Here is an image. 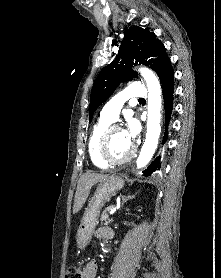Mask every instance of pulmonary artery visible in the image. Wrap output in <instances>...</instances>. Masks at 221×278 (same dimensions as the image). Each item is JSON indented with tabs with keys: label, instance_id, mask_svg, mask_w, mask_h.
Returning <instances> with one entry per match:
<instances>
[{
	"label": "pulmonary artery",
	"instance_id": "pulmonary-artery-1",
	"mask_svg": "<svg viewBox=\"0 0 221 278\" xmlns=\"http://www.w3.org/2000/svg\"><path fill=\"white\" fill-rule=\"evenodd\" d=\"M146 97V89L138 84H131L125 90L114 96L102 108L101 117L114 122L127 99H140Z\"/></svg>",
	"mask_w": 221,
	"mask_h": 278
}]
</instances>
